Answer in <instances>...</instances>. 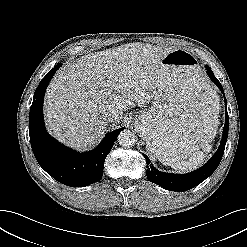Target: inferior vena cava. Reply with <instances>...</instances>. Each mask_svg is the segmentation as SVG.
Instances as JSON below:
<instances>
[{"mask_svg": "<svg viewBox=\"0 0 247 247\" xmlns=\"http://www.w3.org/2000/svg\"><path fill=\"white\" fill-rule=\"evenodd\" d=\"M120 118V114H119V112H117V111H110L109 113H107L106 114V116H105V119L107 120V121H115V120H118Z\"/></svg>", "mask_w": 247, "mask_h": 247, "instance_id": "inferior-vena-cava-1", "label": "inferior vena cava"}]
</instances>
